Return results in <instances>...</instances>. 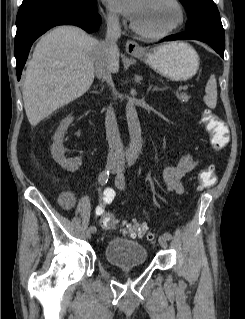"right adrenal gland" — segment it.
<instances>
[{"instance_id":"right-adrenal-gland-1","label":"right adrenal gland","mask_w":245,"mask_h":319,"mask_svg":"<svg viewBox=\"0 0 245 319\" xmlns=\"http://www.w3.org/2000/svg\"><path fill=\"white\" fill-rule=\"evenodd\" d=\"M102 90V89H101ZM93 93H98V91H93Z\"/></svg>"}]
</instances>
